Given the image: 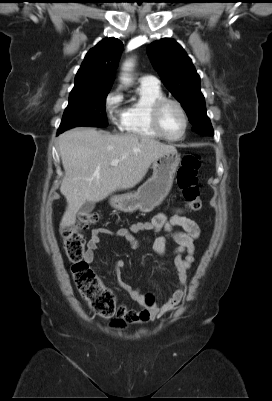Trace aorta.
<instances>
[{
  "label": "aorta",
  "mask_w": 272,
  "mask_h": 401,
  "mask_svg": "<svg viewBox=\"0 0 272 401\" xmlns=\"http://www.w3.org/2000/svg\"><path fill=\"white\" fill-rule=\"evenodd\" d=\"M131 66H132V63H131V62H127V63L124 65V69H125V70H129ZM121 79H122V81H123L124 83H129V81H130V79L127 77L126 74H124V76H123Z\"/></svg>",
  "instance_id": "762f6f07"
}]
</instances>
